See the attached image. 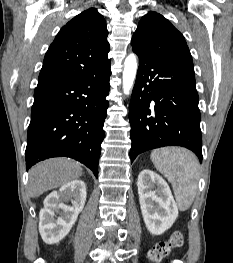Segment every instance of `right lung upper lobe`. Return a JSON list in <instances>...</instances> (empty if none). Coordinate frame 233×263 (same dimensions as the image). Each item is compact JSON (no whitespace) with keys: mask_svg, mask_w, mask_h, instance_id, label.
I'll list each match as a JSON object with an SVG mask.
<instances>
[{"mask_svg":"<svg viewBox=\"0 0 233 263\" xmlns=\"http://www.w3.org/2000/svg\"><path fill=\"white\" fill-rule=\"evenodd\" d=\"M107 36L105 19L95 8L74 17L62 27L46 52L38 86L94 73L109 61Z\"/></svg>","mask_w":233,"mask_h":263,"instance_id":"1","label":"right lung upper lobe"}]
</instances>
